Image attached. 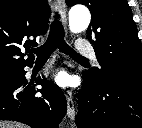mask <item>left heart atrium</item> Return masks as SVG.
Masks as SVG:
<instances>
[{
  "label": "left heart atrium",
  "instance_id": "obj_1",
  "mask_svg": "<svg viewBox=\"0 0 142 128\" xmlns=\"http://www.w3.org/2000/svg\"><path fill=\"white\" fill-rule=\"evenodd\" d=\"M65 81H66V77H65V75L64 74H58L57 76H56V82L58 83V84H60V85H63L64 83H65Z\"/></svg>",
  "mask_w": 142,
  "mask_h": 128
}]
</instances>
